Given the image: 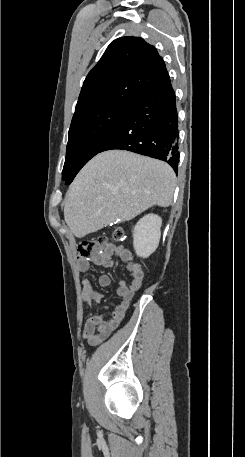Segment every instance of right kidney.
Returning <instances> with one entry per match:
<instances>
[{"label": "right kidney", "instance_id": "right-kidney-1", "mask_svg": "<svg viewBox=\"0 0 245 457\" xmlns=\"http://www.w3.org/2000/svg\"><path fill=\"white\" fill-rule=\"evenodd\" d=\"M162 218L158 214H146L134 226L135 251H156L161 237Z\"/></svg>", "mask_w": 245, "mask_h": 457}]
</instances>
